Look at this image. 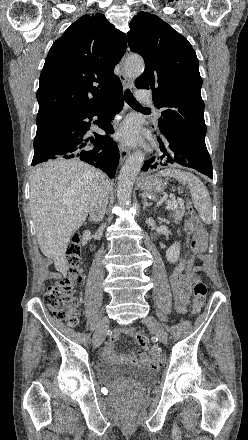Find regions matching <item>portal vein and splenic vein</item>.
I'll return each mask as SVG.
<instances>
[{"mask_svg":"<svg viewBox=\"0 0 248 440\" xmlns=\"http://www.w3.org/2000/svg\"><path fill=\"white\" fill-rule=\"evenodd\" d=\"M177 205H178L177 201H176V200H172L171 202H168V204H167V209L169 210V209H171L173 206H177Z\"/></svg>","mask_w":248,"mask_h":440,"instance_id":"obj_1","label":"portal vein and splenic vein"}]
</instances>
